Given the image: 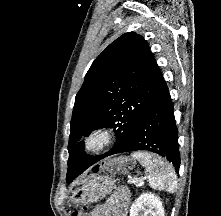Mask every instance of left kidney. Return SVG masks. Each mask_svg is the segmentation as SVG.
<instances>
[{
	"label": "left kidney",
	"instance_id": "1",
	"mask_svg": "<svg viewBox=\"0 0 221 216\" xmlns=\"http://www.w3.org/2000/svg\"><path fill=\"white\" fill-rule=\"evenodd\" d=\"M130 216H165L160 198L152 193H144L132 204Z\"/></svg>",
	"mask_w": 221,
	"mask_h": 216
}]
</instances>
